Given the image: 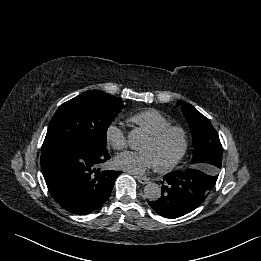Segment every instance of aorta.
<instances>
[{
    "label": "aorta",
    "instance_id": "obj_1",
    "mask_svg": "<svg viewBox=\"0 0 261 261\" xmlns=\"http://www.w3.org/2000/svg\"><path fill=\"white\" fill-rule=\"evenodd\" d=\"M145 140L146 136L140 129H134L128 134V144L132 150H139ZM144 195L148 200L156 201L161 196V188L156 183H148L144 187Z\"/></svg>",
    "mask_w": 261,
    "mask_h": 261
}]
</instances>
